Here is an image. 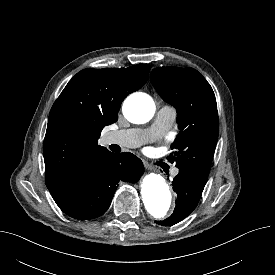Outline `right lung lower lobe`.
Wrapping results in <instances>:
<instances>
[{"mask_svg": "<svg viewBox=\"0 0 275 275\" xmlns=\"http://www.w3.org/2000/svg\"><path fill=\"white\" fill-rule=\"evenodd\" d=\"M143 171L142 161L132 153L107 150L79 165L50 192L65 214L93 219L107 211L120 180L135 183Z\"/></svg>", "mask_w": 275, "mask_h": 275, "instance_id": "98d812e1", "label": "right lung lower lobe"}]
</instances>
